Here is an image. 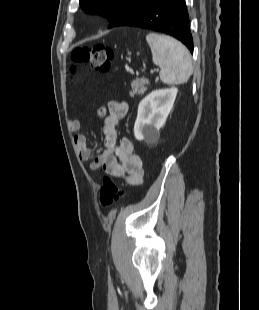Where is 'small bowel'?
I'll list each match as a JSON object with an SVG mask.
<instances>
[{
    "label": "small bowel",
    "instance_id": "1",
    "mask_svg": "<svg viewBox=\"0 0 259 310\" xmlns=\"http://www.w3.org/2000/svg\"><path fill=\"white\" fill-rule=\"evenodd\" d=\"M108 114L106 115V113ZM128 112L126 102L109 101L107 106L97 109V117L103 119V146L93 150L88 146L83 134H78L81 122L79 119L69 121V129L76 133L74 144L80 158L89 162L90 170L102 169L107 175L123 180L129 185H140L143 182V164L135 153L134 146L128 138L117 143V126Z\"/></svg>",
    "mask_w": 259,
    "mask_h": 310
}]
</instances>
